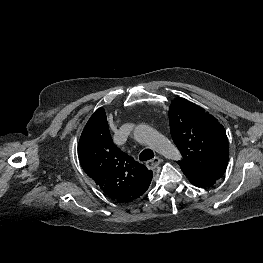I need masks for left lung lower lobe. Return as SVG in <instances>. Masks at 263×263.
Masks as SVG:
<instances>
[{
	"label": "left lung lower lobe",
	"instance_id": "obj_1",
	"mask_svg": "<svg viewBox=\"0 0 263 263\" xmlns=\"http://www.w3.org/2000/svg\"><path fill=\"white\" fill-rule=\"evenodd\" d=\"M183 173L193 185L202 188L212 186L223 176L217 172L185 171Z\"/></svg>",
	"mask_w": 263,
	"mask_h": 263
}]
</instances>
